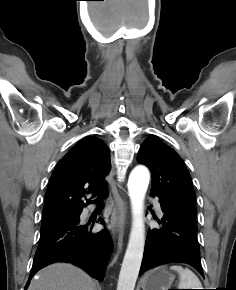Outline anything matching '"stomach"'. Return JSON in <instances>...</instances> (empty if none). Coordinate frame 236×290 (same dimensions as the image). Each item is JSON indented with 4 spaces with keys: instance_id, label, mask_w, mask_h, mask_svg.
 I'll return each instance as SVG.
<instances>
[{
    "instance_id": "stomach-1",
    "label": "stomach",
    "mask_w": 236,
    "mask_h": 290,
    "mask_svg": "<svg viewBox=\"0 0 236 290\" xmlns=\"http://www.w3.org/2000/svg\"><path fill=\"white\" fill-rule=\"evenodd\" d=\"M175 276L166 266L153 269L145 274L142 279L143 290H168Z\"/></svg>"
}]
</instances>
